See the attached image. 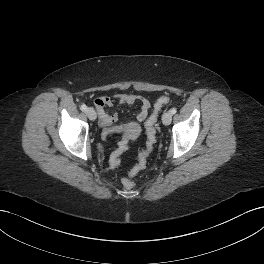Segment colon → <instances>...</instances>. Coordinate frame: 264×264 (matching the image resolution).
Here are the masks:
<instances>
[{"instance_id": "colon-1", "label": "colon", "mask_w": 264, "mask_h": 264, "mask_svg": "<svg viewBox=\"0 0 264 264\" xmlns=\"http://www.w3.org/2000/svg\"><path fill=\"white\" fill-rule=\"evenodd\" d=\"M169 102V97L167 95H163L157 99L154 104L153 113L148 117L145 123L146 128V147L143 151L140 152L138 162L130 171L128 177L123 179V186L126 189H131L134 186L133 177L138 174L141 170H143L147 163V158L151 153L154 144L156 142V134H157V117L159 111L167 105ZM124 146L128 147V143L124 142Z\"/></svg>"}]
</instances>
